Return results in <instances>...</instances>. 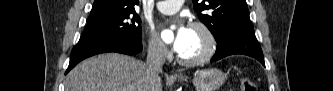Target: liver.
<instances>
[{"instance_id": "obj_1", "label": "liver", "mask_w": 333, "mask_h": 91, "mask_svg": "<svg viewBox=\"0 0 333 91\" xmlns=\"http://www.w3.org/2000/svg\"><path fill=\"white\" fill-rule=\"evenodd\" d=\"M65 91H162L161 78L147 77L139 60L117 53L98 55L78 64L66 78Z\"/></svg>"}]
</instances>
